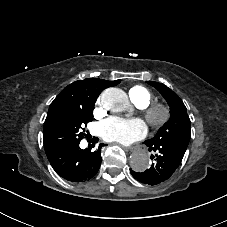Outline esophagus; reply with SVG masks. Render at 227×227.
I'll list each match as a JSON object with an SVG mask.
<instances>
[{"instance_id": "esophagus-1", "label": "esophagus", "mask_w": 227, "mask_h": 227, "mask_svg": "<svg viewBox=\"0 0 227 227\" xmlns=\"http://www.w3.org/2000/svg\"><path fill=\"white\" fill-rule=\"evenodd\" d=\"M150 150V147L148 145H144V144H138L137 146H134L130 149V152L132 154L135 153H144V152H148Z\"/></svg>"}]
</instances>
